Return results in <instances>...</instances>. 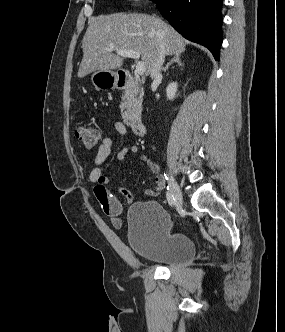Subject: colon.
<instances>
[{"label": "colon", "mask_w": 285, "mask_h": 332, "mask_svg": "<svg viewBox=\"0 0 285 332\" xmlns=\"http://www.w3.org/2000/svg\"><path fill=\"white\" fill-rule=\"evenodd\" d=\"M75 135L79 142L88 149L97 147L101 140L100 132L96 128L89 126H76Z\"/></svg>", "instance_id": "colon-1"}]
</instances>
